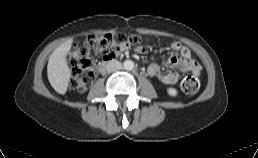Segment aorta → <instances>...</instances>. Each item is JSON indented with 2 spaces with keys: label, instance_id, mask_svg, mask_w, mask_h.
<instances>
[{
  "label": "aorta",
  "instance_id": "762f6f07",
  "mask_svg": "<svg viewBox=\"0 0 258 158\" xmlns=\"http://www.w3.org/2000/svg\"><path fill=\"white\" fill-rule=\"evenodd\" d=\"M123 67H124L125 70H132L134 68V63L131 60H126L123 63Z\"/></svg>",
  "mask_w": 258,
  "mask_h": 158
}]
</instances>
